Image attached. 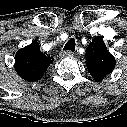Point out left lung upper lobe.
I'll list each match as a JSON object with an SVG mask.
<instances>
[{"mask_svg":"<svg viewBox=\"0 0 127 127\" xmlns=\"http://www.w3.org/2000/svg\"><path fill=\"white\" fill-rule=\"evenodd\" d=\"M86 65L97 82L102 81L105 76L114 70L115 58L109 53L100 37L92 40L86 48Z\"/></svg>","mask_w":127,"mask_h":127,"instance_id":"1","label":"left lung upper lobe"}]
</instances>
